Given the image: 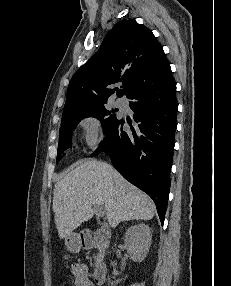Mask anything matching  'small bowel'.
Wrapping results in <instances>:
<instances>
[{
	"mask_svg": "<svg viewBox=\"0 0 231 286\" xmlns=\"http://www.w3.org/2000/svg\"><path fill=\"white\" fill-rule=\"evenodd\" d=\"M75 286H95V282L89 275L88 267L79 262L71 265Z\"/></svg>",
	"mask_w": 231,
	"mask_h": 286,
	"instance_id": "c3829d8e",
	"label": "small bowel"
}]
</instances>
